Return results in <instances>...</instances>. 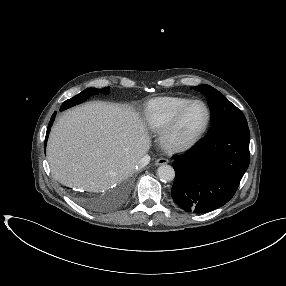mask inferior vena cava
<instances>
[{
	"instance_id": "1",
	"label": "inferior vena cava",
	"mask_w": 286,
	"mask_h": 286,
	"mask_svg": "<svg viewBox=\"0 0 286 286\" xmlns=\"http://www.w3.org/2000/svg\"><path fill=\"white\" fill-rule=\"evenodd\" d=\"M149 162H150V156L146 154L138 161L136 166L142 168L146 166Z\"/></svg>"
}]
</instances>
